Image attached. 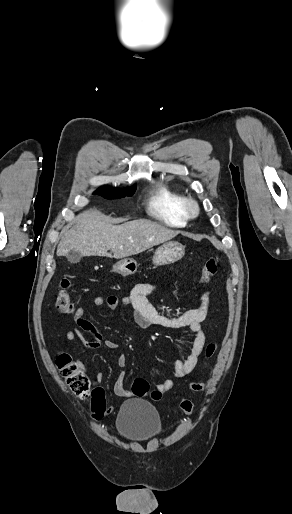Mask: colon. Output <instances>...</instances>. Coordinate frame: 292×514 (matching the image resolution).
<instances>
[{"label":"colon","mask_w":292,"mask_h":514,"mask_svg":"<svg viewBox=\"0 0 292 514\" xmlns=\"http://www.w3.org/2000/svg\"><path fill=\"white\" fill-rule=\"evenodd\" d=\"M219 268V258L212 256L206 259L200 269V284L205 285L214 276ZM71 284L69 279H63L60 283L61 289L57 293L55 306L61 315H69L73 311V301L68 292ZM217 350V343H208L205 349V358L210 360ZM56 365L61 375L66 379L69 388L84 403H92V411L95 420L101 421L105 417L106 398L101 388L92 386L89 377L82 371L80 365L67 353H59L56 358ZM194 392H201L204 389L203 383L194 382L191 385ZM134 393L143 397L147 394L155 401L160 400L161 392L151 390L148 381L143 377L135 378L132 382ZM178 409L184 414H189L193 410V403L188 399L179 402Z\"/></svg>","instance_id":"1"}]
</instances>
